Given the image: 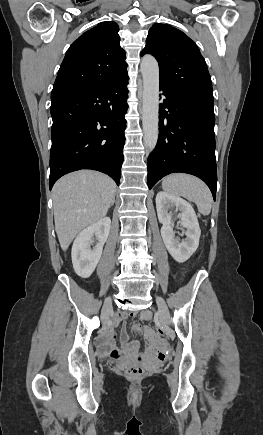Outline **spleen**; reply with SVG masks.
<instances>
[{
	"mask_svg": "<svg viewBox=\"0 0 263 435\" xmlns=\"http://www.w3.org/2000/svg\"><path fill=\"white\" fill-rule=\"evenodd\" d=\"M162 188L168 193L183 196L194 202L201 214H210L212 194L199 178L183 173L171 174L163 179Z\"/></svg>",
	"mask_w": 263,
	"mask_h": 435,
	"instance_id": "3e777b00",
	"label": "spleen"
}]
</instances>
